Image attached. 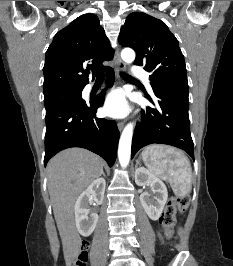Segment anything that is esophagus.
Here are the masks:
<instances>
[{"label":"esophagus","mask_w":233,"mask_h":266,"mask_svg":"<svg viewBox=\"0 0 233 266\" xmlns=\"http://www.w3.org/2000/svg\"><path fill=\"white\" fill-rule=\"evenodd\" d=\"M115 59H116V62H117L116 71H117V73H119L120 71H123L125 69V64L120 59L119 50L118 49L115 52ZM117 126H118V129L121 131L123 129V127H124V122L123 121H119L117 123Z\"/></svg>","instance_id":"34e87169"}]
</instances>
